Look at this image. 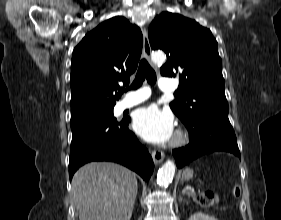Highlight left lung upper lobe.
<instances>
[{"instance_id": "obj_1", "label": "left lung upper lobe", "mask_w": 281, "mask_h": 220, "mask_svg": "<svg viewBox=\"0 0 281 220\" xmlns=\"http://www.w3.org/2000/svg\"><path fill=\"white\" fill-rule=\"evenodd\" d=\"M148 35L152 49L167 54L161 74L180 77L182 94L170 103L178 118L185 125L207 115L228 118L222 61L211 31L182 15L163 12L152 21Z\"/></svg>"}]
</instances>
